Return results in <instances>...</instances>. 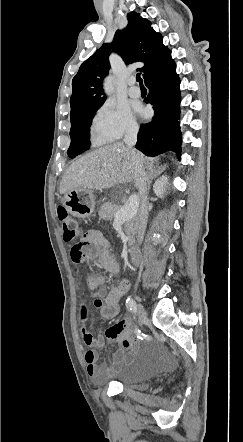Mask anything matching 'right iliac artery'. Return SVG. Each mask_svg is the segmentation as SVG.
Masks as SVG:
<instances>
[{
	"instance_id": "obj_1",
	"label": "right iliac artery",
	"mask_w": 243,
	"mask_h": 442,
	"mask_svg": "<svg viewBox=\"0 0 243 442\" xmlns=\"http://www.w3.org/2000/svg\"><path fill=\"white\" fill-rule=\"evenodd\" d=\"M126 306L128 307V309L133 312L136 313L137 312V306H136V302L131 298L128 297L126 300Z\"/></svg>"
}]
</instances>
